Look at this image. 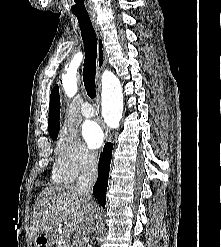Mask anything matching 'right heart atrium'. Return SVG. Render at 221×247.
<instances>
[{
    "instance_id": "d8ad5b80",
    "label": "right heart atrium",
    "mask_w": 221,
    "mask_h": 247,
    "mask_svg": "<svg viewBox=\"0 0 221 247\" xmlns=\"http://www.w3.org/2000/svg\"><path fill=\"white\" fill-rule=\"evenodd\" d=\"M95 163V154L69 128L60 131L55 147L53 178L60 183H70Z\"/></svg>"
}]
</instances>
